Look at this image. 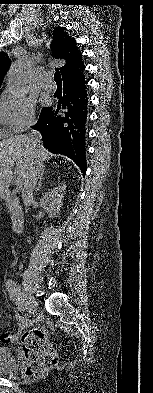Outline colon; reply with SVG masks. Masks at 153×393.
<instances>
[{
  "label": "colon",
  "instance_id": "5ec220e1",
  "mask_svg": "<svg viewBox=\"0 0 153 393\" xmlns=\"http://www.w3.org/2000/svg\"><path fill=\"white\" fill-rule=\"evenodd\" d=\"M21 344L25 356L31 361V374L38 375L56 364V354L47 342L44 330L32 329L24 332Z\"/></svg>",
  "mask_w": 153,
  "mask_h": 393
}]
</instances>
